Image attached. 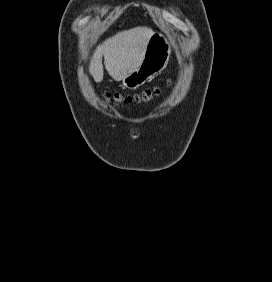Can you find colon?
I'll return each mask as SVG.
<instances>
[{"label": "colon", "mask_w": 272, "mask_h": 282, "mask_svg": "<svg viewBox=\"0 0 272 282\" xmlns=\"http://www.w3.org/2000/svg\"><path fill=\"white\" fill-rule=\"evenodd\" d=\"M160 93L159 88H149L145 89L142 92L135 94L133 96L124 97L120 94H113L109 95V99L112 100L115 103H124V102H147L149 101L153 96L158 95Z\"/></svg>", "instance_id": "colon-1"}]
</instances>
